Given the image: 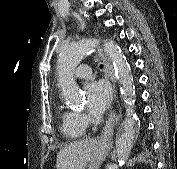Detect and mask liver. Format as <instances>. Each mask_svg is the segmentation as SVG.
<instances>
[{
    "instance_id": "liver-1",
    "label": "liver",
    "mask_w": 177,
    "mask_h": 169,
    "mask_svg": "<svg viewBox=\"0 0 177 169\" xmlns=\"http://www.w3.org/2000/svg\"><path fill=\"white\" fill-rule=\"evenodd\" d=\"M99 141L86 139L69 144L57 154L56 169H86Z\"/></svg>"
}]
</instances>
